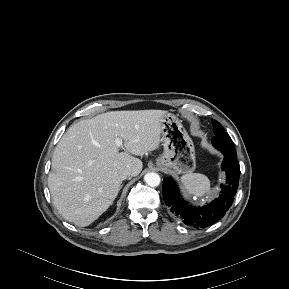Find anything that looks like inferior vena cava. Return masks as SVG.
I'll use <instances>...</instances> for the list:
<instances>
[{"label":"inferior vena cava","mask_w":289,"mask_h":289,"mask_svg":"<svg viewBox=\"0 0 289 289\" xmlns=\"http://www.w3.org/2000/svg\"><path fill=\"white\" fill-rule=\"evenodd\" d=\"M132 176V170L130 168H126L119 173V177L121 180H125Z\"/></svg>","instance_id":"obj_1"}]
</instances>
